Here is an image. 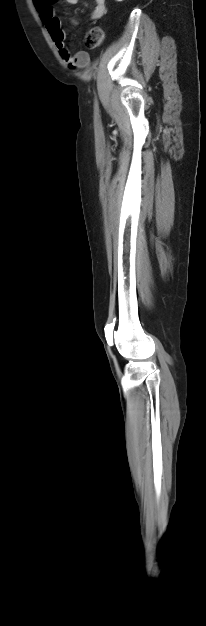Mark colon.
<instances>
[{
  "instance_id": "colon-1",
  "label": "colon",
  "mask_w": 206,
  "mask_h": 626,
  "mask_svg": "<svg viewBox=\"0 0 206 626\" xmlns=\"http://www.w3.org/2000/svg\"><path fill=\"white\" fill-rule=\"evenodd\" d=\"M104 32L100 27L92 28L85 37V44L89 48H95L102 43Z\"/></svg>"
}]
</instances>
